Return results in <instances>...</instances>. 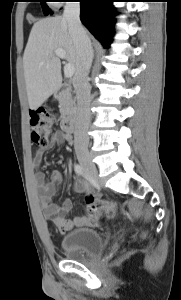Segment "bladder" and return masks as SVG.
<instances>
[{
  "mask_svg": "<svg viewBox=\"0 0 181 300\" xmlns=\"http://www.w3.org/2000/svg\"><path fill=\"white\" fill-rule=\"evenodd\" d=\"M104 247L101 234L93 228H77L65 233L61 248L69 257H88L100 254Z\"/></svg>",
  "mask_w": 181,
  "mask_h": 300,
  "instance_id": "obj_1",
  "label": "bladder"
}]
</instances>
